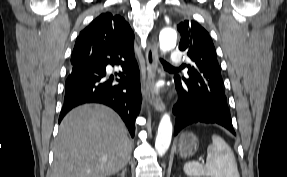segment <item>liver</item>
<instances>
[{"label": "liver", "instance_id": "obj_1", "mask_svg": "<svg viewBox=\"0 0 287 177\" xmlns=\"http://www.w3.org/2000/svg\"><path fill=\"white\" fill-rule=\"evenodd\" d=\"M53 152L49 177H107L127 165L132 145L116 112L86 104L64 117Z\"/></svg>", "mask_w": 287, "mask_h": 177}]
</instances>
